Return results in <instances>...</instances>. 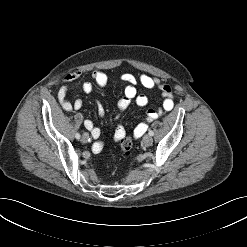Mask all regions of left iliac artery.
Listing matches in <instances>:
<instances>
[{"instance_id":"left-iliac-artery-1","label":"left iliac artery","mask_w":247,"mask_h":247,"mask_svg":"<svg viewBox=\"0 0 247 247\" xmlns=\"http://www.w3.org/2000/svg\"><path fill=\"white\" fill-rule=\"evenodd\" d=\"M149 135H150V136H153V135H154V132L150 130V131H149Z\"/></svg>"}]
</instances>
